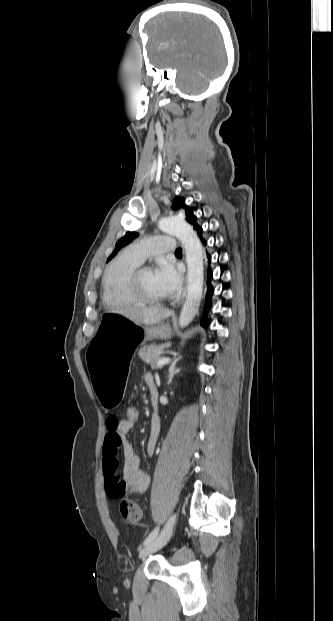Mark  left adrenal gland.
I'll return each instance as SVG.
<instances>
[{
    "mask_svg": "<svg viewBox=\"0 0 333 621\" xmlns=\"http://www.w3.org/2000/svg\"><path fill=\"white\" fill-rule=\"evenodd\" d=\"M182 357L179 356L178 358H176L174 361H172L170 367H169V374H168V380H167V385L171 384L173 377L178 374L181 370V368H176V364L177 362L181 359Z\"/></svg>",
    "mask_w": 333,
    "mask_h": 621,
    "instance_id": "1",
    "label": "left adrenal gland"
}]
</instances>
